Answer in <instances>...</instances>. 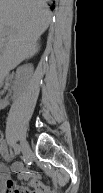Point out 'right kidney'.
<instances>
[{
	"label": "right kidney",
	"mask_w": 103,
	"mask_h": 193,
	"mask_svg": "<svg viewBox=\"0 0 103 193\" xmlns=\"http://www.w3.org/2000/svg\"><path fill=\"white\" fill-rule=\"evenodd\" d=\"M33 67L31 64L26 65L25 67L20 69V73H24L26 71H32Z\"/></svg>",
	"instance_id": "1"
}]
</instances>
